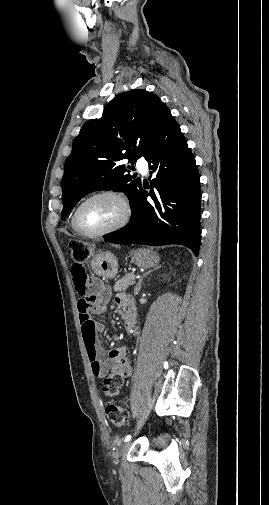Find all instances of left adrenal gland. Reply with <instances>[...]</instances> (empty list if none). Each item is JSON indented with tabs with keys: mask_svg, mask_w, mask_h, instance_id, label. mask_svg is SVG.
Segmentation results:
<instances>
[{
	"mask_svg": "<svg viewBox=\"0 0 269 505\" xmlns=\"http://www.w3.org/2000/svg\"><path fill=\"white\" fill-rule=\"evenodd\" d=\"M160 267H161V265H160V266H157V267H156V268H154L153 270H149L148 272H146L145 274H143V276L139 279L138 283H137V284H136V286H135V289H134V295H138V294H139V292H140V290H141V286H142V281H143V279H144L147 275H149L151 272H153L154 270L159 269Z\"/></svg>",
	"mask_w": 269,
	"mask_h": 505,
	"instance_id": "a2214340",
	"label": "left adrenal gland"
}]
</instances>
